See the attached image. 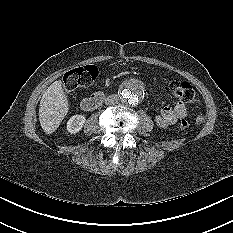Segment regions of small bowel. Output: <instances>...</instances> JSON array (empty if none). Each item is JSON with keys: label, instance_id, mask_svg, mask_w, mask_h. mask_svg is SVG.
<instances>
[{"label": "small bowel", "instance_id": "c3829d8e", "mask_svg": "<svg viewBox=\"0 0 233 233\" xmlns=\"http://www.w3.org/2000/svg\"><path fill=\"white\" fill-rule=\"evenodd\" d=\"M187 107L184 102L178 101L173 106L163 107L154 120L158 127L167 128L187 116Z\"/></svg>", "mask_w": 233, "mask_h": 233}]
</instances>
